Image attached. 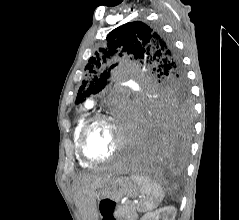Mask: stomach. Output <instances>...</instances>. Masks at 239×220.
Listing matches in <instances>:
<instances>
[{
  "label": "stomach",
  "mask_w": 239,
  "mask_h": 220,
  "mask_svg": "<svg viewBox=\"0 0 239 220\" xmlns=\"http://www.w3.org/2000/svg\"><path fill=\"white\" fill-rule=\"evenodd\" d=\"M140 188L137 183L129 178H114L104 185L96 197L98 199L99 220H120L121 212L118 203L123 197L135 198L139 195Z\"/></svg>",
  "instance_id": "1"
}]
</instances>
